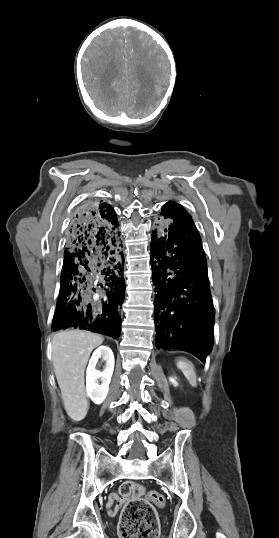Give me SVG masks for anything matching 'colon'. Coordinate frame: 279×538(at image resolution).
<instances>
[{
    "label": "colon",
    "instance_id": "5ec220e1",
    "mask_svg": "<svg viewBox=\"0 0 279 538\" xmlns=\"http://www.w3.org/2000/svg\"><path fill=\"white\" fill-rule=\"evenodd\" d=\"M144 488L135 482H125L120 486V494L131 496L121 515L120 538H156L159 522L153 504L163 507L164 496L157 491H149L144 496Z\"/></svg>",
    "mask_w": 279,
    "mask_h": 538
}]
</instances>
